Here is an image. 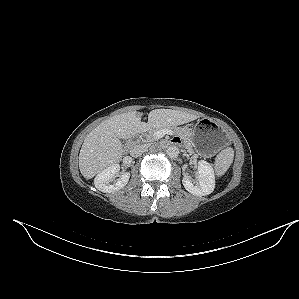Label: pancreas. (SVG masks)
<instances>
[{"instance_id":"obj_1","label":"pancreas","mask_w":299,"mask_h":299,"mask_svg":"<svg viewBox=\"0 0 299 299\" xmlns=\"http://www.w3.org/2000/svg\"><path fill=\"white\" fill-rule=\"evenodd\" d=\"M172 131H174L175 133H179L181 134L183 137H189V133L190 131L188 129H178V128H170ZM161 130V129H150L148 130V132L144 133V137H145V142L147 143H151L156 141L157 139L155 138V132Z\"/></svg>"}]
</instances>
